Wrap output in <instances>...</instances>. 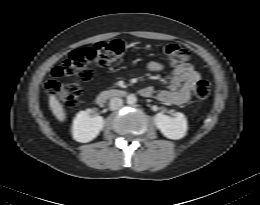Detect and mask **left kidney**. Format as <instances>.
<instances>
[{
    "instance_id": "obj_1",
    "label": "left kidney",
    "mask_w": 260,
    "mask_h": 205,
    "mask_svg": "<svg viewBox=\"0 0 260 205\" xmlns=\"http://www.w3.org/2000/svg\"><path fill=\"white\" fill-rule=\"evenodd\" d=\"M154 122L161 133L172 140L183 138L187 132V120L184 114L177 112L174 117L158 113L154 116Z\"/></svg>"
}]
</instances>
